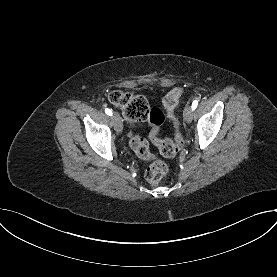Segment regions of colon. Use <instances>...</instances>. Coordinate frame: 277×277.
<instances>
[{
	"label": "colon",
	"instance_id": "obj_1",
	"mask_svg": "<svg viewBox=\"0 0 277 277\" xmlns=\"http://www.w3.org/2000/svg\"><path fill=\"white\" fill-rule=\"evenodd\" d=\"M183 93L184 90L182 88H175L163 100L167 114L173 121L175 127L174 140L159 138V129L164 121V115L157 108L151 109L143 96L123 91H113L109 94L108 99L112 105L123 112V115L129 122L148 121L151 125V141L159 148L163 156L170 158L175 156L183 145V137L179 130V121L174 114V110ZM130 146L140 158L152 160V163L146 168L145 178L150 184H158L168 172L167 164L152 155L148 142L140 136H133L130 139Z\"/></svg>",
	"mask_w": 277,
	"mask_h": 277
}]
</instances>
